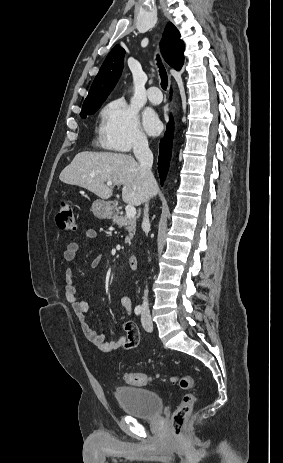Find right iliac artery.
<instances>
[{
  "mask_svg": "<svg viewBox=\"0 0 283 463\" xmlns=\"http://www.w3.org/2000/svg\"><path fill=\"white\" fill-rule=\"evenodd\" d=\"M134 311H135L136 315H139L142 312V307L140 305H138V306L135 307Z\"/></svg>",
  "mask_w": 283,
  "mask_h": 463,
  "instance_id": "1",
  "label": "right iliac artery"
}]
</instances>
